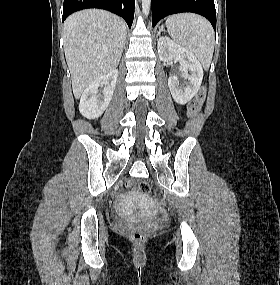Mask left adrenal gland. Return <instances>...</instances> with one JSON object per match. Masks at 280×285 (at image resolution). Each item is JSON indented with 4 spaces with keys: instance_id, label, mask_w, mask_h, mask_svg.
Here are the masks:
<instances>
[{
    "instance_id": "1",
    "label": "left adrenal gland",
    "mask_w": 280,
    "mask_h": 285,
    "mask_svg": "<svg viewBox=\"0 0 280 285\" xmlns=\"http://www.w3.org/2000/svg\"><path fill=\"white\" fill-rule=\"evenodd\" d=\"M163 30H164V26L162 25L159 29V32L157 33V36H159Z\"/></svg>"
}]
</instances>
